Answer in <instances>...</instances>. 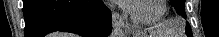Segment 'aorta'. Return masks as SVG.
Masks as SVG:
<instances>
[{"label": "aorta", "instance_id": "obj_1", "mask_svg": "<svg viewBox=\"0 0 219 37\" xmlns=\"http://www.w3.org/2000/svg\"><path fill=\"white\" fill-rule=\"evenodd\" d=\"M111 37H124V32L121 28H114Z\"/></svg>", "mask_w": 219, "mask_h": 37}]
</instances>
